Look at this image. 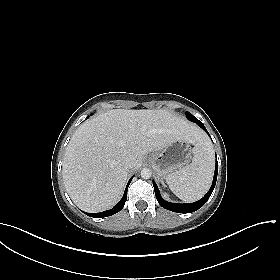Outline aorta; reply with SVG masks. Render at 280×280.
<instances>
[{"label":"aorta","instance_id":"1","mask_svg":"<svg viewBox=\"0 0 280 280\" xmlns=\"http://www.w3.org/2000/svg\"><path fill=\"white\" fill-rule=\"evenodd\" d=\"M151 175H152V172L150 169L144 168L141 170V177L143 179H149L151 177Z\"/></svg>","mask_w":280,"mask_h":280}]
</instances>
